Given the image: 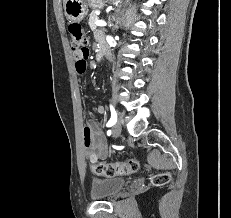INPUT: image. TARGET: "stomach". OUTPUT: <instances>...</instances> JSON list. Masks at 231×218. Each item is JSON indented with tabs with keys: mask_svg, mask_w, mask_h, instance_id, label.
Returning a JSON list of instances; mask_svg holds the SVG:
<instances>
[{
	"mask_svg": "<svg viewBox=\"0 0 231 218\" xmlns=\"http://www.w3.org/2000/svg\"><path fill=\"white\" fill-rule=\"evenodd\" d=\"M107 1L108 0H67L64 5L65 16L70 21L80 22L87 15L88 6L93 9H100Z\"/></svg>",
	"mask_w": 231,
	"mask_h": 218,
	"instance_id": "1",
	"label": "stomach"
}]
</instances>
